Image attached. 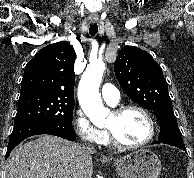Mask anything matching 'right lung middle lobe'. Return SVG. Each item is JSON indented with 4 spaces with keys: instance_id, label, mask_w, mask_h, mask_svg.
Listing matches in <instances>:
<instances>
[{
    "instance_id": "1",
    "label": "right lung middle lobe",
    "mask_w": 194,
    "mask_h": 178,
    "mask_svg": "<svg viewBox=\"0 0 194 178\" xmlns=\"http://www.w3.org/2000/svg\"><path fill=\"white\" fill-rule=\"evenodd\" d=\"M73 109L72 98L48 96L19 100L14 125L24 122H44L72 128Z\"/></svg>"
}]
</instances>
